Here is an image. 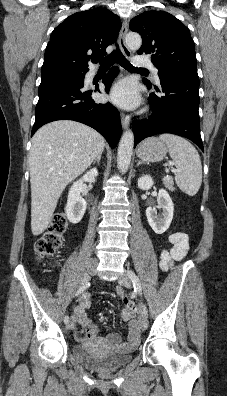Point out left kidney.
I'll use <instances>...</instances> for the list:
<instances>
[{
  "label": "left kidney",
  "mask_w": 227,
  "mask_h": 396,
  "mask_svg": "<svg viewBox=\"0 0 227 396\" xmlns=\"http://www.w3.org/2000/svg\"><path fill=\"white\" fill-rule=\"evenodd\" d=\"M154 184L151 176L145 175L138 179V187L141 190H149ZM158 209H162V213L157 215L156 208L148 207L146 216L149 225L156 234H163L170 226L173 214L174 204L166 190L160 189L157 197Z\"/></svg>",
  "instance_id": "obj_1"
}]
</instances>
